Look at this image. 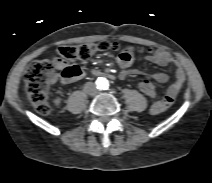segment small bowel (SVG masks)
I'll use <instances>...</instances> for the list:
<instances>
[{
    "label": "small bowel",
    "instance_id": "small-bowel-1",
    "mask_svg": "<svg viewBox=\"0 0 212 183\" xmlns=\"http://www.w3.org/2000/svg\"><path fill=\"white\" fill-rule=\"evenodd\" d=\"M118 64L122 69H128L134 62V55L133 52L130 51V48H126L118 57ZM144 61L153 63L157 66H166L168 64H172L175 68V79L169 86L166 95L153 103L151 106V113L152 114H160L166 111L175 101L177 95L182 89V86L185 82L186 76L183 69L181 62L171 56L166 50L164 49H157L152 55L146 56ZM60 70L64 69L63 65H60ZM84 77V73L79 69V74L77 77L73 79H67L61 76V83L66 85L72 81H76L82 79ZM153 80L157 83H165L168 81V75L164 72H156L151 74ZM151 82V81H150ZM152 83V82H151ZM153 85V83H152ZM154 86V85H153ZM56 103H59V99H56Z\"/></svg>",
    "mask_w": 212,
    "mask_h": 183
}]
</instances>
